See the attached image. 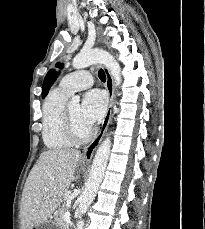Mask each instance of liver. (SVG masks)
<instances>
[{"label": "liver", "instance_id": "liver-1", "mask_svg": "<svg viewBox=\"0 0 205 229\" xmlns=\"http://www.w3.org/2000/svg\"><path fill=\"white\" fill-rule=\"evenodd\" d=\"M81 152L55 149L43 152L26 180L21 200L22 229H32L49 219L65 197Z\"/></svg>", "mask_w": 205, "mask_h": 229}]
</instances>
